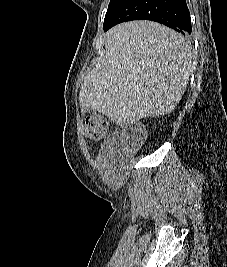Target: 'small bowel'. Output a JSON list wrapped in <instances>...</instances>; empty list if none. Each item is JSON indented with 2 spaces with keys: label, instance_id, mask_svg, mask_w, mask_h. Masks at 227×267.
I'll return each instance as SVG.
<instances>
[{
  "label": "small bowel",
  "instance_id": "small-bowel-1",
  "mask_svg": "<svg viewBox=\"0 0 227 267\" xmlns=\"http://www.w3.org/2000/svg\"><path fill=\"white\" fill-rule=\"evenodd\" d=\"M114 146H115V139H110L104 144L102 151L98 157L100 162H107L110 159V157L115 152Z\"/></svg>",
  "mask_w": 227,
  "mask_h": 267
}]
</instances>
